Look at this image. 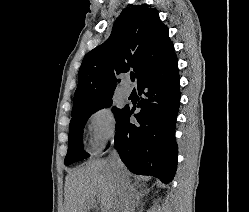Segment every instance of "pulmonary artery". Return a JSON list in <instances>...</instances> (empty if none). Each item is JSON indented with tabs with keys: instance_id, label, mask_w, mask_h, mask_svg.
<instances>
[{
	"instance_id": "e3ab8cb5",
	"label": "pulmonary artery",
	"mask_w": 249,
	"mask_h": 212,
	"mask_svg": "<svg viewBox=\"0 0 249 212\" xmlns=\"http://www.w3.org/2000/svg\"><path fill=\"white\" fill-rule=\"evenodd\" d=\"M122 82H123V85L121 87V96L123 98H128L132 93V85H131L130 76L127 74L124 75L122 77Z\"/></svg>"
}]
</instances>
